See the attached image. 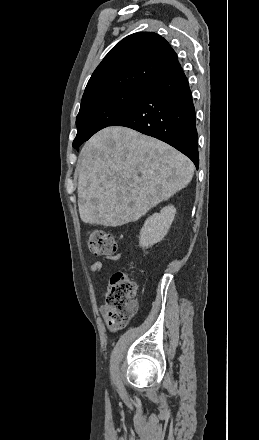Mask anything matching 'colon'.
I'll return each mask as SVG.
<instances>
[{"instance_id": "5ec220e1", "label": "colon", "mask_w": 259, "mask_h": 440, "mask_svg": "<svg viewBox=\"0 0 259 440\" xmlns=\"http://www.w3.org/2000/svg\"><path fill=\"white\" fill-rule=\"evenodd\" d=\"M88 247L96 256H110L117 251L114 237L103 230L90 233ZM136 291V283L125 273L117 272L111 276L104 303V313L110 326L122 328L134 316L137 308L134 300Z\"/></svg>"}]
</instances>
